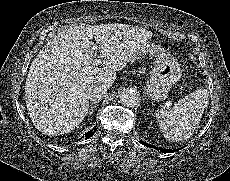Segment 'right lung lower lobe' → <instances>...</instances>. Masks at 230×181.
<instances>
[{
  "label": "right lung lower lobe",
  "mask_w": 230,
  "mask_h": 181,
  "mask_svg": "<svg viewBox=\"0 0 230 181\" xmlns=\"http://www.w3.org/2000/svg\"><path fill=\"white\" fill-rule=\"evenodd\" d=\"M95 131H96V128H94L93 131H89L88 133H86V134H85L86 139H88V138H90L91 136H93V134L95 133ZM83 137H84V135H83ZM81 139H82V138H80L79 140H81Z\"/></svg>",
  "instance_id": "98d812e1"
}]
</instances>
